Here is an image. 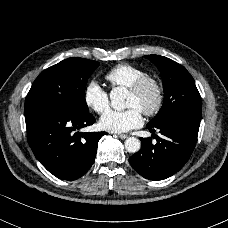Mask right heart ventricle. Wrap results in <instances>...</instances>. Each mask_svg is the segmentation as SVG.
Masks as SVG:
<instances>
[{
  "label": "right heart ventricle",
  "instance_id": "e07e8e85",
  "mask_svg": "<svg viewBox=\"0 0 228 228\" xmlns=\"http://www.w3.org/2000/svg\"><path fill=\"white\" fill-rule=\"evenodd\" d=\"M148 75L147 72L134 65L122 63L112 67L105 74V78L113 87L129 89L137 80Z\"/></svg>",
  "mask_w": 228,
  "mask_h": 228
}]
</instances>
